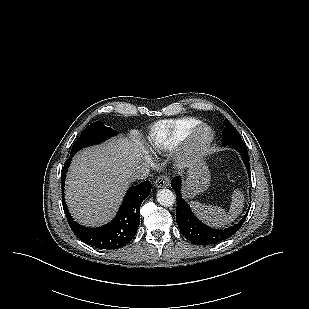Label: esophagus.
Returning a JSON list of instances; mask_svg holds the SVG:
<instances>
[{
    "label": "esophagus",
    "instance_id": "esophagus-1",
    "mask_svg": "<svg viewBox=\"0 0 309 309\" xmlns=\"http://www.w3.org/2000/svg\"><path fill=\"white\" fill-rule=\"evenodd\" d=\"M154 184L157 188H166L170 184V179L167 175H161L155 180Z\"/></svg>",
    "mask_w": 309,
    "mask_h": 309
}]
</instances>
